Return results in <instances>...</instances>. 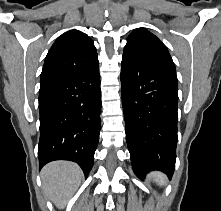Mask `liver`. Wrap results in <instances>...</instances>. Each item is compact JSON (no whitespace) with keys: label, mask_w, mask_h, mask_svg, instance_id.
<instances>
[{"label":"liver","mask_w":221,"mask_h":211,"mask_svg":"<svg viewBox=\"0 0 221 211\" xmlns=\"http://www.w3.org/2000/svg\"><path fill=\"white\" fill-rule=\"evenodd\" d=\"M82 176V170L73 162H51L41 171L44 193L57 208L63 209L79 188Z\"/></svg>","instance_id":"obj_1"}]
</instances>
